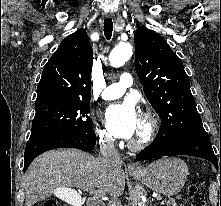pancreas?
Instances as JSON below:
<instances>
[{"label": "pancreas", "instance_id": "obj_1", "mask_svg": "<svg viewBox=\"0 0 221 206\" xmlns=\"http://www.w3.org/2000/svg\"><path fill=\"white\" fill-rule=\"evenodd\" d=\"M163 204H166L167 206H178L176 200L171 197H169L167 200H164Z\"/></svg>", "mask_w": 221, "mask_h": 206}]
</instances>
